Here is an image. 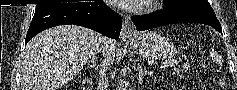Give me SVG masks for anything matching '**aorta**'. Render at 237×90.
Returning a JSON list of instances; mask_svg holds the SVG:
<instances>
[{"label": "aorta", "mask_w": 237, "mask_h": 90, "mask_svg": "<svg viewBox=\"0 0 237 90\" xmlns=\"http://www.w3.org/2000/svg\"><path fill=\"white\" fill-rule=\"evenodd\" d=\"M118 90H126L124 84H119Z\"/></svg>", "instance_id": "aorta-1"}]
</instances>
